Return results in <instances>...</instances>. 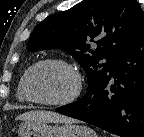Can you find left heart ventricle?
Masks as SVG:
<instances>
[{
    "label": "left heart ventricle",
    "mask_w": 144,
    "mask_h": 137,
    "mask_svg": "<svg viewBox=\"0 0 144 137\" xmlns=\"http://www.w3.org/2000/svg\"><path fill=\"white\" fill-rule=\"evenodd\" d=\"M74 87L75 79L72 73L58 65L40 66L30 78L32 95L43 100H62L72 93Z\"/></svg>",
    "instance_id": "1"
}]
</instances>
